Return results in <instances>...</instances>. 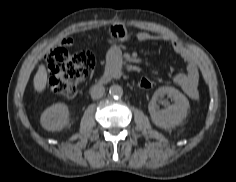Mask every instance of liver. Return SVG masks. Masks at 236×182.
<instances>
[{"instance_id": "liver-1", "label": "liver", "mask_w": 236, "mask_h": 182, "mask_svg": "<svg viewBox=\"0 0 236 182\" xmlns=\"http://www.w3.org/2000/svg\"><path fill=\"white\" fill-rule=\"evenodd\" d=\"M47 85V71L45 65L41 64L33 79V86L35 91L41 93L45 90Z\"/></svg>"}]
</instances>
